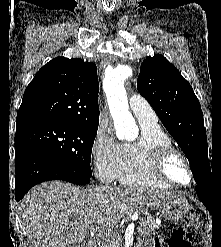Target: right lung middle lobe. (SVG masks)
Here are the masks:
<instances>
[{"label": "right lung middle lobe", "instance_id": "right-lung-middle-lobe-1", "mask_svg": "<svg viewBox=\"0 0 221 247\" xmlns=\"http://www.w3.org/2000/svg\"><path fill=\"white\" fill-rule=\"evenodd\" d=\"M97 129L71 122L31 125L16 129L15 144L40 149L73 171L91 177V152Z\"/></svg>", "mask_w": 221, "mask_h": 247}]
</instances>
